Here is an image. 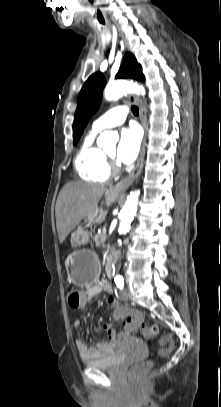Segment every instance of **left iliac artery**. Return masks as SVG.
Listing matches in <instances>:
<instances>
[{
  "label": "left iliac artery",
  "instance_id": "44dca946",
  "mask_svg": "<svg viewBox=\"0 0 221 407\" xmlns=\"http://www.w3.org/2000/svg\"><path fill=\"white\" fill-rule=\"evenodd\" d=\"M116 285L119 289H123L124 287V280L122 278H119L116 280Z\"/></svg>",
  "mask_w": 221,
  "mask_h": 407
}]
</instances>
